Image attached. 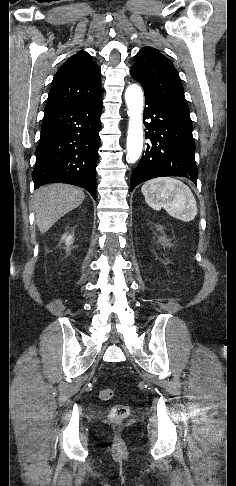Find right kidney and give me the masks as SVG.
<instances>
[{"instance_id": "obj_1", "label": "right kidney", "mask_w": 236, "mask_h": 486, "mask_svg": "<svg viewBox=\"0 0 236 486\" xmlns=\"http://www.w3.org/2000/svg\"><path fill=\"white\" fill-rule=\"evenodd\" d=\"M62 240H64L66 242V245L69 247V245L71 244V242L73 240V236L65 234V235H63Z\"/></svg>"}]
</instances>
